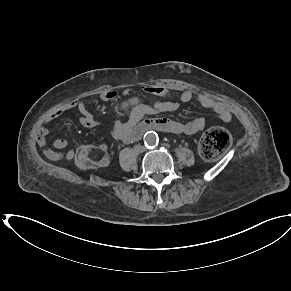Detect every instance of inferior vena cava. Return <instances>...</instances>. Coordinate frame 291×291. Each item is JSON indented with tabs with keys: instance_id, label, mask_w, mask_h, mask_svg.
Instances as JSON below:
<instances>
[{
	"instance_id": "1",
	"label": "inferior vena cava",
	"mask_w": 291,
	"mask_h": 291,
	"mask_svg": "<svg viewBox=\"0 0 291 291\" xmlns=\"http://www.w3.org/2000/svg\"><path fill=\"white\" fill-rule=\"evenodd\" d=\"M144 150H145V147H144V146H140V147H139V151H140V152H144Z\"/></svg>"
}]
</instances>
